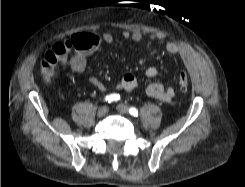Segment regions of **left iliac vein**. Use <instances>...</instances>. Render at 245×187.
Masks as SVG:
<instances>
[{"label":"left iliac vein","instance_id":"1","mask_svg":"<svg viewBox=\"0 0 245 187\" xmlns=\"http://www.w3.org/2000/svg\"><path fill=\"white\" fill-rule=\"evenodd\" d=\"M117 110L121 113V114H126L129 111V107L125 104H118L117 105Z\"/></svg>","mask_w":245,"mask_h":187}]
</instances>
